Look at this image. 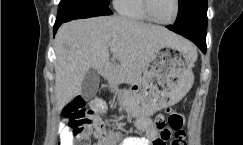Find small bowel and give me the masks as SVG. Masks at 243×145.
Returning <instances> with one entry per match:
<instances>
[{"label": "small bowel", "mask_w": 243, "mask_h": 145, "mask_svg": "<svg viewBox=\"0 0 243 145\" xmlns=\"http://www.w3.org/2000/svg\"><path fill=\"white\" fill-rule=\"evenodd\" d=\"M93 109V121L95 124V133L93 145H166V141L170 139L171 132H168L165 138H161L160 132L155 127V119L149 116L140 115L136 119L137 129L144 134L142 137H126L122 138L120 132H108L105 123L100 117L107 111V105L103 100L95 99L90 102ZM162 118L157 116L156 120ZM59 142L58 145H74L75 139H81L80 135L75 136L70 128L64 123L59 124L58 129Z\"/></svg>", "instance_id": "small-bowel-1"}]
</instances>
